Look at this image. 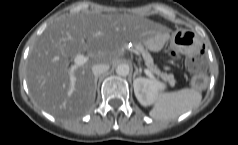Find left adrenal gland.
I'll return each instance as SVG.
<instances>
[{
	"label": "left adrenal gland",
	"mask_w": 238,
	"mask_h": 145,
	"mask_svg": "<svg viewBox=\"0 0 238 145\" xmlns=\"http://www.w3.org/2000/svg\"><path fill=\"white\" fill-rule=\"evenodd\" d=\"M141 75V70H139L136 66H135V72H134V76H133V78L135 79V76L136 75Z\"/></svg>",
	"instance_id": "obj_1"
}]
</instances>
